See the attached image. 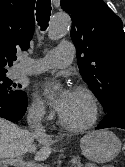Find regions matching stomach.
Returning <instances> with one entry per match:
<instances>
[{
    "instance_id": "0dacf381",
    "label": "stomach",
    "mask_w": 125,
    "mask_h": 167,
    "mask_svg": "<svg viewBox=\"0 0 125 167\" xmlns=\"http://www.w3.org/2000/svg\"><path fill=\"white\" fill-rule=\"evenodd\" d=\"M80 148L83 155L90 161L105 163L119 154L121 142L114 133L108 130H97L81 139Z\"/></svg>"
}]
</instances>
